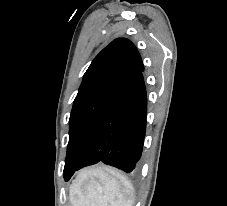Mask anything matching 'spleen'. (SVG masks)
Here are the masks:
<instances>
[{"label":"spleen","instance_id":"1","mask_svg":"<svg viewBox=\"0 0 227 206\" xmlns=\"http://www.w3.org/2000/svg\"><path fill=\"white\" fill-rule=\"evenodd\" d=\"M70 197L73 206H132L134 188L118 172L95 169L77 179L70 188Z\"/></svg>","mask_w":227,"mask_h":206}]
</instances>
